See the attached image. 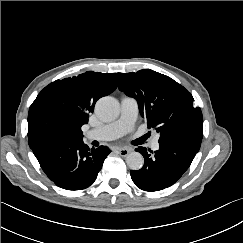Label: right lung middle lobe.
I'll return each instance as SVG.
<instances>
[{"instance_id":"1","label":"right lung middle lobe","mask_w":243,"mask_h":243,"mask_svg":"<svg viewBox=\"0 0 243 243\" xmlns=\"http://www.w3.org/2000/svg\"><path fill=\"white\" fill-rule=\"evenodd\" d=\"M53 129H54L55 131H57V130L60 129V127H59V125H58L57 123H54V124H53Z\"/></svg>"}]
</instances>
